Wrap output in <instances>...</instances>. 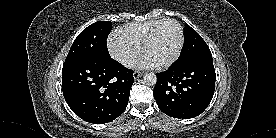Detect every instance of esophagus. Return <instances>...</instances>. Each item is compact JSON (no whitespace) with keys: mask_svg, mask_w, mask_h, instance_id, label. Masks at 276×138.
<instances>
[{"mask_svg":"<svg viewBox=\"0 0 276 138\" xmlns=\"http://www.w3.org/2000/svg\"><path fill=\"white\" fill-rule=\"evenodd\" d=\"M133 76L135 79H137L142 76V73L140 71H134Z\"/></svg>","mask_w":276,"mask_h":138,"instance_id":"34e87169","label":"esophagus"}]
</instances>
